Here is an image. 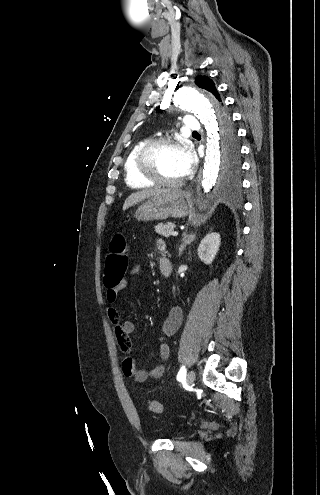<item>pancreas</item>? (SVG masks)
<instances>
[{"instance_id": "1", "label": "pancreas", "mask_w": 320, "mask_h": 495, "mask_svg": "<svg viewBox=\"0 0 320 495\" xmlns=\"http://www.w3.org/2000/svg\"><path fill=\"white\" fill-rule=\"evenodd\" d=\"M174 230H175V225L171 222H168L166 224L158 223L155 226V232H157L158 234L165 236V237L171 236L173 234Z\"/></svg>"}]
</instances>
